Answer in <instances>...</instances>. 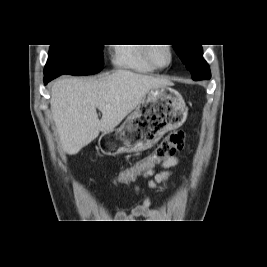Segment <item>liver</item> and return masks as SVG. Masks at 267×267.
<instances>
[{"label": "liver", "mask_w": 267, "mask_h": 267, "mask_svg": "<svg viewBox=\"0 0 267 267\" xmlns=\"http://www.w3.org/2000/svg\"><path fill=\"white\" fill-rule=\"evenodd\" d=\"M171 85L167 79L128 70L99 79L57 80L52 85L50 105L64 151L77 154L99 132L113 131L150 90Z\"/></svg>", "instance_id": "6515ba94"}]
</instances>
